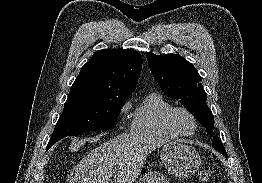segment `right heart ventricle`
I'll use <instances>...</instances> for the list:
<instances>
[{"mask_svg": "<svg viewBox=\"0 0 262 183\" xmlns=\"http://www.w3.org/2000/svg\"><path fill=\"white\" fill-rule=\"evenodd\" d=\"M173 107L160 93H149L135 109L131 130L144 136L179 138L167 124V115Z\"/></svg>", "mask_w": 262, "mask_h": 183, "instance_id": "obj_1", "label": "right heart ventricle"}]
</instances>
